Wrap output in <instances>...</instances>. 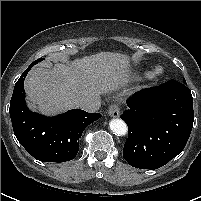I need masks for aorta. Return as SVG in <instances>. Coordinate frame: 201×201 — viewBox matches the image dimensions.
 <instances>
[{"instance_id": "obj_1", "label": "aorta", "mask_w": 201, "mask_h": 201, "mask_svg": "<svg viewBox=\"0 0 201 201\" xmlns=\"http://www.w3.org/2000/svg\"><path fill=\"white\" fill-rule=\"evenodd\" d=\"M109 126L112 132L117 136H123L127 134V125L121 119H112L109 123Z\"/></svg>"}]
</instances>
